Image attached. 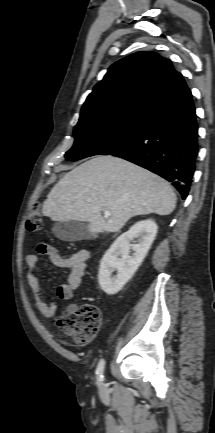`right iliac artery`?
Masks as SVG:
<instances>
[{
    "label": "right iliac artery",
    "mask_w": 215,
    "mask_h": 433,
    "mask_svg": "<svg viewBox=\"0 0 215 433\" xmlns=\"http://www.w3.org/2000/svg\"><path fill=\"white\" fill-rule=\"evenodd\" d=\"M104 367H105V361H104V359H101L99 361V364H98L97 369H96V378H97L98 382L103 381Z\"/></svg>",
    "instance_id": "obj_1"
}]
</instances>
